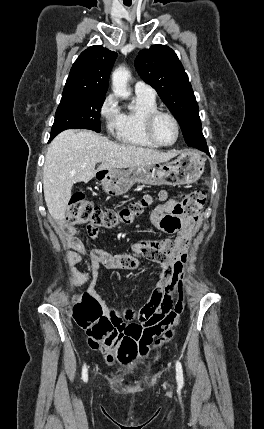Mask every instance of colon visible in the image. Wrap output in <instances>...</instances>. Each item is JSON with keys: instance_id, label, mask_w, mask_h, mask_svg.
Wrapping results in <instances>:
<instances>
[{"instance_id": "colon-1", "label": "colon", "mask_w": 264, "mask_h": 429, "mask_svg": "<svg viewBox=\"0 0 264 429\" xmlns=\"http://www.w3.org/2000/svg\"><path fill=\"white\" fill-rule=\"evenodd\" d=\"M165 197L166 194L163 193L161 198ZM205 201V192L194 190L181 197L179 208L188 218L197 220ZM150 202L151 199L145 197L121 210H115L94 205L83 194L78 193L70 200L66 221L70 226L87 224L88 230L112 228L121 223H130ZM177 306L182 310L181 300ZM72 312L77 325L86 331L90 347L109 353V361L127 364L136 357V343L125 337V331L129 330L128 322L133 318L129 309L122 313L111 310L109 314H104L96 300L83 294L75 297Z\"/></svg>"}]
</instances>
